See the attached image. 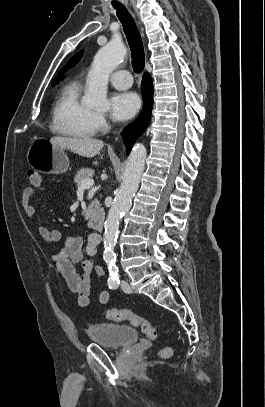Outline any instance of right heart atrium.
<instances>
[{
  "instance_id": "1",
  "label": "right heart atrium",
  "mask_w": 265,
  "mask_h": 407,
  "mask_svg": "<svg viewBox=\"0 0 265 407\" xmlns=\"http://www.w3.org/2000/svg\"><path fill=\"white\" fill-rule=\"evenodd\" d=\"M94 124L97 130H104L108 127V121L103 114H94Z\"/></svg>"
}]
</instances>
